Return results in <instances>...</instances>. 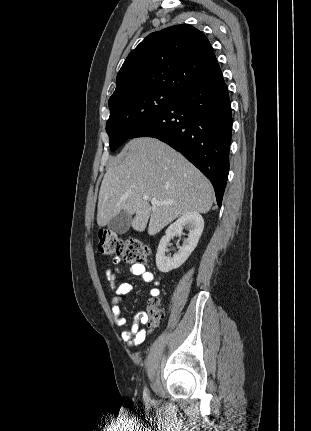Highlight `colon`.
Listing matches in <instances>:
<instances>
[{
  "mask_svg": "<svg viewBox=\"0 0 311 431\" xmlns=\"http://www.w3.org/2000/svg\"><path fill=\"white\" fill-rule=\"evenodd\" d=\"M98 251L105 255H116L129 263L146 264L150 256V248L137 239H123L108 229L98 232ZM163 305L157 299H151L146 307L145 325L152 331L163 318Z\"/></svg>",
  "mask_w": 311,
  "mask_h": 431,
  "instance_id": "colon-1",
  "label": "colon"
}]
</instances>
